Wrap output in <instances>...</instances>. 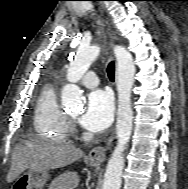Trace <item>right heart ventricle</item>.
<instances>
[{"label":"right heart ventricle","mask_w":188,"mask_h":189,"mask_svg":"<svg viewBox=\"0 0 188 189\" xmlns=\"http://www.w3.org/2000/svg\"><path fill=\"white\" fill-rule=\"evenodd\" d=\"M34 130L51 141L63 142L68 137V118L58 104L56 88L46 84L40 91L34 109Z\"/></svg>","instance_id":"right-heart-ventricle-1"}]
</instances>
